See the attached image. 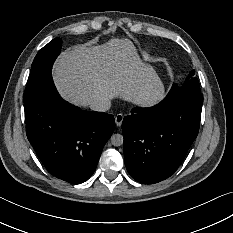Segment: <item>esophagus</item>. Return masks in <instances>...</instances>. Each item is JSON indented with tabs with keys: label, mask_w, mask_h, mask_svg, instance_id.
Listing matches in <instances>:
<instances>
[{
	"label": "esophagus",
	"mask_w": 233,
	"mask_h": 233,
	"mask_svg": "<svg viewBox=\"0 0 233 233\" xmlns=\"http://www.w3.org/2000/svg\"><path fill=\"white\" fill-rule=\"evenodd\" d=\"M124 116L122 114H117L115 116V123L117 126H121Z\"/></svg>",
	"instance_id": "obj_1"
}]
</instances>
